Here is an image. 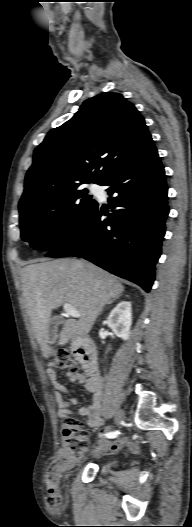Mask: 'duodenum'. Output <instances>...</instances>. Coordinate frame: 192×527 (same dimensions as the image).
Masks as SVG:
<instances>
[{"label": "duodenum", "instance_id": "410a0bca", "mask_svg": "<svg viewBox=\"0 0 192 527\" xmlns=\"http://www.w3.org/2000/svg\"><path fill=\"white\" fill-rule=\"evenodd\" d=\"M73 349L86 371L91 374H97V355L94 342L87 337H77Z\"/></svg>", "mask_w": 192, "mask_h": 527}]
</instances>
